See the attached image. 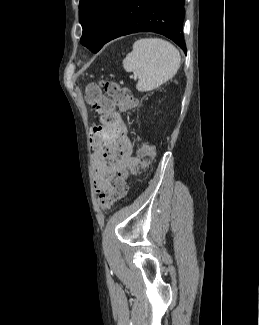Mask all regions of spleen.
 <instances>
[{
	"mask_svg": "<svg viewBox=\"0 0 259 325\" xmlns=\"http://www.w3.org/2000/svg\"><path fill=\"white\" fill-rule=\"evenodd\" d=\"M179 51L160 38H143L133 44V50L123 60L127 72L138 76L136 89L151 91L171 79L180 67Z\"/></svg>",
	"mask_w": 259,
	"mask_h": 325,
	"instance_id": "3e777b00",
	"label": "spleen"
}]
</instances>
